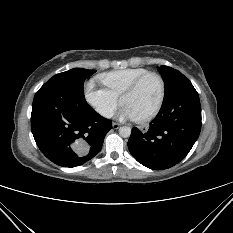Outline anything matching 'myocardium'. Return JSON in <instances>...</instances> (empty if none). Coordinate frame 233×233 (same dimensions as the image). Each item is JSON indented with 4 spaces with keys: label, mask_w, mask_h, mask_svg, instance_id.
Masks as SVG:
<instances>
[{
    "label": "myocardium",
    "mask_w": 233,
    "mask_h": 233,
    "mask_svg": "<svg viewBox=\"0 0 233 233\" xmlns=\"http://www.w3.org/2000/svg\"><path fill=\"white\" fill-rule=\"evenodd\" d=\"M151 76L158 78V80L160 81V83H161V95H160V98H159V101H158L156 107L149 114H147L143 117H140V118H135V121L140 122V123L152 120L160 112V110L163 106L164 100H165V96H166V83H165L164 78L157 72L149 71V72L143 74L142 76H140L139 78H137L120 95V102L122 103V100L125 96L134 93L141 86V84L147 78H149Z\"/></svg>",
    "instance_id": "f54148a6"
}]
</instances>
